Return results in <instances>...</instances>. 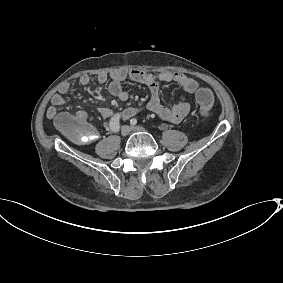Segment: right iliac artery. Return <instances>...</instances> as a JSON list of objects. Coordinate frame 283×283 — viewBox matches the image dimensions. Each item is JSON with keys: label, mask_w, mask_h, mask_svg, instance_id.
I'll return each instance as SVG.
<instances>
[{"label": "right iliac artery", "mask_w": 283, "mask_h": 283, "mask_svg": "<svg viewBox=\"0 0 283 283\" xmlns=\"http://www.w3.org/2000/svg\"><path fill=\"white\" fill-rule=\"evenodd\" d=\"M120 117L121 115L119 113L115 114L110 122H109V126H110V129L113 131V132H118L119 131V128H120Z\"/></svg>", "instance_id": "obj_1"}]
</instances>
